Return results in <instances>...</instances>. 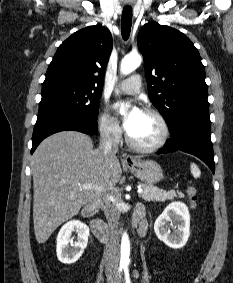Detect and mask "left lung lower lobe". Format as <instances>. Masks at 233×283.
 Listing matches in <instances>:
<instances>
[{
	"instance_id": "obj_1",
	"label": "left lung lower lobe",
	"mask_w": 233,
	"mask_h": 283,
	"mask_svg": "<svg viewBox=\"0 0 233 283\" xmlns=\"http://www.w3.org/2000/svg\"><path fill=\"white\" fill-rule=\"evenodd\" d=\"M171 139L158 154L184 151L204 161L211 171H215L214 153L211 142L209 114H192L169 127Z\"/></svg>"
}]
</instances>
